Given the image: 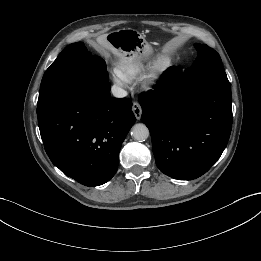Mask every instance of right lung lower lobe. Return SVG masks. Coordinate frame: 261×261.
<instances>
[{
    "label": "right lung lower lobe",
    "instance_id": "right-lung-lower-lobe-1",
    "mask_svg": "<svg viewBox=\"0 0 261 261\" xmlns=\"http://www.w3.org/2000/svg\"><path fill=\"white\" fill-rule=\"evenodd\" d=\"M129 98H111L110 84L74 87L37 113L40 134L52 163L85 186L109 181L119 151L135 123Z\"/></svg>",
    "mask_w": 261,
    "mask_h": 261
}]
</instances>
